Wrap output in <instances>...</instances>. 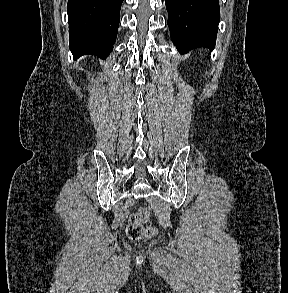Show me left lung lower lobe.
<instances>
[{
	"label": "left lung lower lobe",
	"instance_id": "obj_1",
	"mask_svg": "<svg viewBox=\"0 0 288 293\" xmlns=\"http://www.w3.org/2000/svg\"><path fill=\"white\" fill-rule=\"evenodd\" d=\"M165 4L171 39L181 54L198 47L214 49L219 0H165Z\"/></svg>",
	"mask_w": 288,
	"mask_h": 293
}]
</instances>
